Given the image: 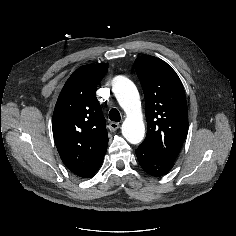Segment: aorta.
Returning <instances> with one entry per match:
<instances>
[{
	"instance_id": "aorta-1",
	"label": "aorta",
	"mask_w": 236,
	"mask_h": 236,
	"mask_svg": "<svg viewBox=\"0 0 236 236\" xmlns=\"http://www.w3.org/2000/svg\"><path fill=\"white\" fill-rule=\"evenodd\" d=\"M113 91L117 101L127 115L122 124V134L130 143L138 144L145 135L138 90L128 78L117 76L113 80Z\"/></svg>"
}]
</instances>
